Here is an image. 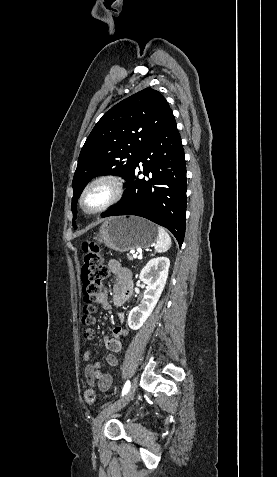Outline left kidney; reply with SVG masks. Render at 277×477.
Instances as JSON below:
<instances>
[{
  "instance_id": "5707ae66",
  "label": "left kidney",
  "mask_w": 277,
  "mask_h": 477,
  "mask_svg": "<svg viewBox=\"0 0 277 477\" xmlns=\"http://www.w3.org/2000/svg\"><path fill=\"white\" fill-rule=\"evenodd\" d=\"M170 261L167 257L151 259L140 272V280L147 285L139 306L133 308L128 316L132 330L140 329L155 308L165 287Z\"/></svg>"
}]
</instances>
